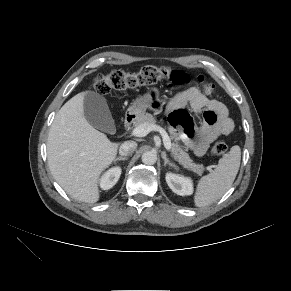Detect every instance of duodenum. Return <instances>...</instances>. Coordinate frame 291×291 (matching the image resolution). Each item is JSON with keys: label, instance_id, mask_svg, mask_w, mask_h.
<instances>
[{"label": "duodenum", "instance_id": "obj_1", "mask_svg": "<svg viewBox=\"0 0 291 291\" xmlns=\"http://www.w3.org/2000/svg\"><path fill=\"white\" fill-rule=\"evenodd\" d=\"M136 119V114L133 112H129L124 120V127L125 129H129Z\"/></svg>", "mask_w": 291, "mask_h": 291}]
</instances>
